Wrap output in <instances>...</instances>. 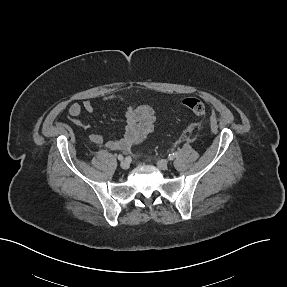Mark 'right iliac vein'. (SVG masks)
<instances>
[{"label":"right iliac vein","instance_id":"63e3f726","mask_svg":"<svg viewBox=\"0 0 287 287\" xmlns=\"http://www.w3.org/2000/svg\"><path fill=\"white\" fill-rule=\"evenodd\" d=\"M120 166L123 170H127L130 167V163L128 160H123L121 161Z\"/></svg>","mask_w":287,"mask_h":287}]
</instances>
